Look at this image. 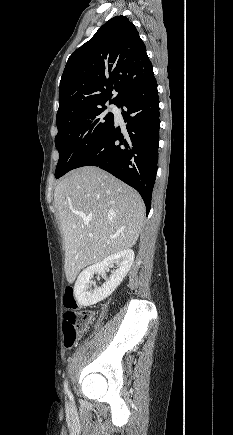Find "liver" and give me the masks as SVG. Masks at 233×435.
Listing matches in <instances>:
<instances>
[{
  "instance_id": "obj_1",
  "label": "liver",
  "mask_w": 233,
  "mask_h": 435,
  "mask_svg": "<svg viewBox=\"0 0 233 435\" xmlns=\"http://www.w3.org/2000/svg\"><path fill=\"white\" fill-rule=\"evenodd\" d=\"M54 201L64 236L69 283L83 268L131 248L145 218L139 193L95 166L68 173L56 186Z\"/></svg>"
}]
</instances>
